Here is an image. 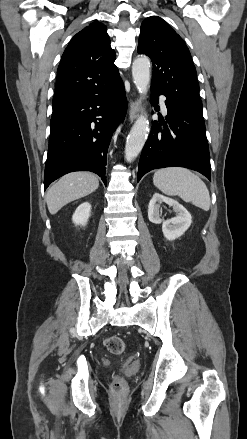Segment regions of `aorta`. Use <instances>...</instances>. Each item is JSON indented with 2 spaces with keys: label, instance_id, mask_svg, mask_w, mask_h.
Wrapping results in <instances>:
<instances>
[{
  "label": "aorta",
  "instance_id": "762f6f07",
  "mask_svg": "<svg viewBox=\"0 0 247 439\" xmlns=\"http://www.w3.org/2000/svg\"><path fill=\"white\" fill-rule=\"evenodd\" d=\"M150 60L146 56L137 57L132 64L133 82L141 95H146L150 84ZM149 132L146 114L140 115L134 123L125 145V158L132 162L141 152Z\"/></svg>",
  "mask_w": 247,
  "mask_h": 439
}]
</instances>
